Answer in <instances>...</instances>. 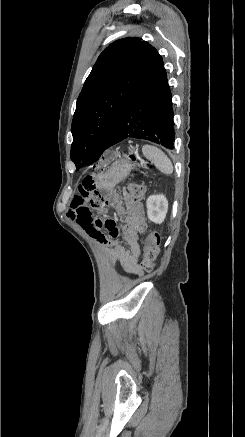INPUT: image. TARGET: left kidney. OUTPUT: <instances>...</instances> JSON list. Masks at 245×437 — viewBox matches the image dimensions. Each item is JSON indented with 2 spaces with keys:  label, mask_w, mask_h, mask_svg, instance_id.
<instances>
[{
  "label": "left kidney",
  "mask_w": 245,
  "mask_h": 437,
  "mask_svg": "<svg viewBox=\"0 0 245 437\" xmlns=\"http://www.w3.org/2000/svg\"><path fill=\"white\" fill-rule=\"evenodd\" d=\"M147 215L150 221L161 224L168 211V200L164 195H151L146 201Z\"/></svg>",
  "instance_id": "left-kidney-1"
}]
</instances>
